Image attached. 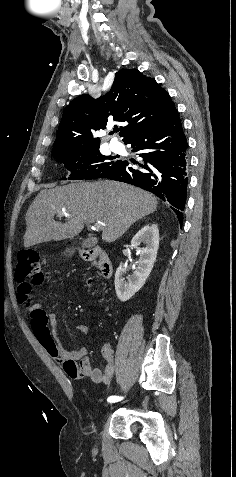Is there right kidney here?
Listing matches in <instances>:
<instances>
[{
	"label": "right kidney",
	"mask_w": 236,
	"mask_h": 477,
	"mask_svg": "<svg viewBox=\"0 0 236 477\" xmlns=\"http://www.w3.org/2000/svg\"><path fill=\"white\" fill-rule=\"evenodd\" d=\"M143 243L145 247L140 248ZM131 245L140 253L139 264L131 276L125 281L126 268L121 263L115 273V290L117 297L122 301H128L145 284L149 277L154 262L156 261L159 248V230L156 224L144 226L132 239Z\"/></svg>",
	"instance_id": "ca27d5eb"
}]
</instances>
